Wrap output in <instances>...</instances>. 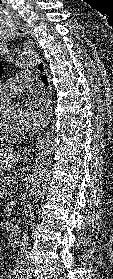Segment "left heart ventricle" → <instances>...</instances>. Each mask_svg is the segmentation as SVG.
Segmentation results:
<instances>
[{
    "label": "left heart ventricle",
    "instance_id": "left-heart-ventricle-1",
    "mask_svg": "<svg viewBox=\"0 0 113 279\" xmlns=\"http://www.w3.org/2000/svg\"><path fill=\"white\" fill-rule=\"evenodd\" d=\"M6 124L8 127L15 131H22L21 125V109L14 106L8 113L6 118Z\"/></svg>",
    "mask_w": 113,
    "mask_h": 279
}]
</instances>
